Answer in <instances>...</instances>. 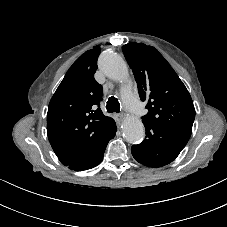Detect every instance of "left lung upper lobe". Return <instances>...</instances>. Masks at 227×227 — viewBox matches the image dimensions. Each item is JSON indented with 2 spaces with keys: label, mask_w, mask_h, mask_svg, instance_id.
Here are the masks:
<instances>
[{
  "label": "left lung upper lobe",
  "mask_w": 227,
  "mask_h": 227,
  "mask_svg": "<svg viewBox=\"0 0 227 227\" xmlns=\"http://www.w3.org/2000/svg\"><path fill=\"white\" fill-rule=\"evenodd\" d=\"M122 49L134 73L139 96L147 101L143 124L156 125L189 140L195 108L176 72L152 46L133 42Z\"/></svg>",
  "instance_id": "obj_1"
}]
</instances>
